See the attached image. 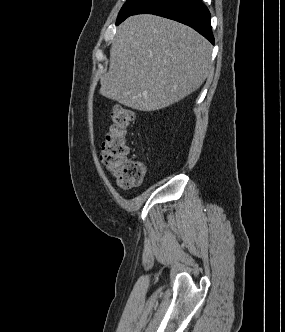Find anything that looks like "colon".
<instances>
[{"label": "colon", "mask_w": 285, "mask_h": 332, "mask_svg": "<svg viewBox=\"0 0 285 332\" xmlns=\"http://www.w3.org/2000/svg\"><path fill=\"white\" fill-rule=\"evenodd\" d=\"M135 120V112L126 106L116 105L110 115L100 159L116 179L118 185L128 189L142 183L146 167L143 162L129 157L128 130Z\"/></svg>", "instance_id": "1"}]
</instances>
